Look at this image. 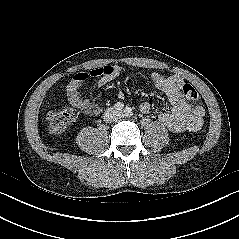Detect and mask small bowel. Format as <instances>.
Instances as JSON below:
<instances>
[{"label": "small bowel", "mask_w": 239, "mask_h": 239, "mask_svg": "<svg viewBox=\"0 0 239 239\" xmlns=\"http://www.w3.org/2000/svg\"><path fill=\"white\" fill-rule=\"evenodd\" d=\"M123 72L119 65H106L93 70L90 75L98 78L99 86L106 85L118 78ZM89 74L85 72L76 73L69 81L66 94L70 106L81 110L89 116L97 115L101 112L100 105L84 99L80 93L81 84L88 78ZM151 81L154 87L166 95L171 108L168 111H162L158 115L159 121L171 132L181 133L185 131H197L204 122L205 109L201 105H190L183 93L182 87L185 84L183 78L179 75L165 76L158 72L151 74ZM143 114L151 111V105L143 102L139 106Z\"/></svg>", "instance_id": "c3829d8e"}]
</instances>
